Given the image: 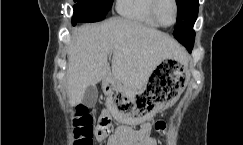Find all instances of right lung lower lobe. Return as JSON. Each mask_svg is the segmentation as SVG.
Returning a JSON list of instances; mask_svg holds the SVG:
<instances>
[{
    "label": "right lung lower lobe",
    "instance_id": "1",
    "mask_svg": "<svg viewBox=\"0 0 243 145\" xmlns=\"http://www.w3.org/2000/svg\"><path fill=\"white\" fill-rule=\"evenodd\" d=\"M106 15H99L89 9H82L74 7V16L72 23L75 25L77 22H96L103 20Z\"/></svg>",
    "mask_w": 243,
    "mask_h": 145
}]
</instances>
